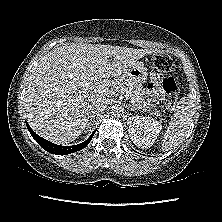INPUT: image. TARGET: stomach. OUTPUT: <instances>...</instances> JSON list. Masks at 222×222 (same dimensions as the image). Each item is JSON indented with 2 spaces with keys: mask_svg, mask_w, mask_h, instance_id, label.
I'll return each instance as SVG.
<instances>
[{
  "mask_svg": "<svg viewBox=\"0 0 222 222\" xmlns=\"http://www.w3.org/2000/svg\"><path fill=\"white\" fill-rule=\"evenodd\" d=\"M147 77V68L144 67L142 62H137L135 65L128 68L123 79L129 80L137 86H141L146 82Z\"/></svg>",
  "mask_w": 222,
  "mask_h": 222,
  "instance_id": "obj_1",
  "label": "stomach"
}]
</instances>
